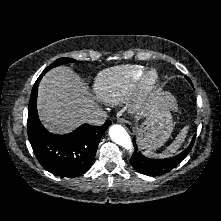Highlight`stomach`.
Segmentation results:
<instances>
[{"instance_id":"obj_1","label":"stomach","mask_w":221,"mask_h":221,"mask_svg":"<svg viewBox=\"0 0 221 221\" xmlns=\"http://www.w3.org/2000/svg\"><path fill=\"white\" fill-rule=\"evenodd\" d=\"M172 101L174 98L168 92L155 95L146 119L137 131V140L141 148L155 150L169 139L174 129Z\"/></svg>"}]
</instances>
